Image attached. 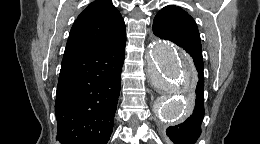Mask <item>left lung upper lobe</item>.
Returning a JSON list of instances; mask_svg holds the SVG:
<instances>
[{
  "label": "left lung upper lobe",
  "mask_w": 260,
  "mask_h": 144,
  "mask_svg": "<svg viewBox=\"0 0 260 144\" xmlns=\"http://www.w3.org/2000/svg\"><path fill=\"white\" fill-rule=\"evenodd\" d=\"M153 33L161 39L170 40L177 45H192L201 49V39L194 19L180 7L168 5L154 18ZM198 78H204L203 58L194 62Z\"/></svg>",
  "instance_id": "1"
}]
</instances>
